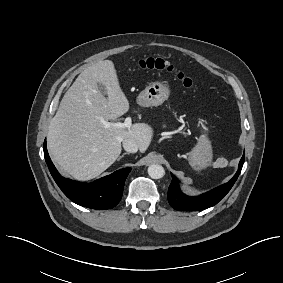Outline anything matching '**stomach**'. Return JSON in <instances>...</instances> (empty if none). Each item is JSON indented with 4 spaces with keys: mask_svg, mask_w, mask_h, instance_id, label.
<instances>
[{
    "mask_svg": "<svg viewBox=\"0 0 283 283\" xmlns=\"http://www.w3.org/2000/svg\"><path fill=\"white\" fill-rule=\"evenodd\" d=\"M169 87L162 81L149 84L137 97V104L141 107L159 106L170 96ZM199 126L202 134L196 146L189 153L190 163L195 167L206 166L212 158L211 141L208 138V128L205 121L200 119Z\"/></svg>",
    "mask_w": 283,
    "mask_h": 283,
    "instance_id": "obj_1",
    "label": "stomach"
}]
</instances>
